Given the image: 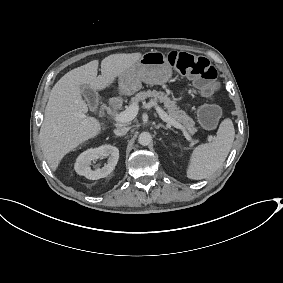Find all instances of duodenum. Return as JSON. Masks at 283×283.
Listing matches in <instances>:
<instances>
[{
    "label": "duodenum",
    "instance_id": "410a0bca",
    "mask_svg": "<svg viewBox=\"0 0 283 283\" xmlns=\"http://www.w3.org/2000/svg\"><path fill=\"white\" fill-rule=\"evenodd\" d=\"M110 106L113 109L118 110L121 107V101L119 99V97L114 96L110 99Z\"/></svg>",
    "mask_w": 283,
    "mask_h": 283
}]
</instances>
